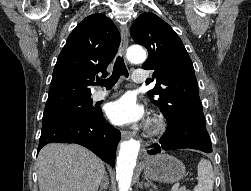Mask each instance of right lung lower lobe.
Here are the masks:
<instances>
[{
  "instance_id": "1",
  "label": "right lung lower lobe",
  "mask_w": 251,
  "mask_h": 191,
  "mask_svg": "<svg viewBox=\"0 0 251 191\" xmlns=\"http://www.w3.org/2000/svg\"><path fill=\"white\" fill-rule=\"evenodd\" d=\"M120 138L119 130L105 122L101 111L94 117L71 116L42 126L37 153L48 143H77L114 167Z\"/></svg>"
}]
</instances>
